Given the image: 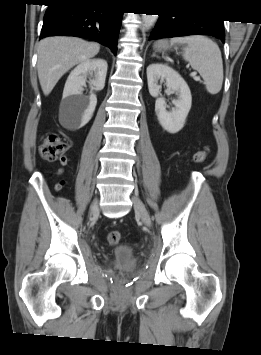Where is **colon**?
Wrapping results in <instances>:
<instances>
[{"label":"colon","instance_id":"colon-1","mask_svg":"<svg viewBox=\"0 0 261 355\" xmlns=\"http://www.w3.org/2000/svg\"><path fill=\"white\" fill-rule=\"evenodd\" d=\"M67 148V144L56 134L49 133L44 138L42 144L39 147L40 156L46 161H56L61 158ZM209 155V150L206 148L204 150L198 151L194 154L192 162L194 164L203 163ZM66 184L65 180L59 181L55 189L60 190ZM122 240V234L118 230H112L107 234V241L111 245H117Z\"/></svg>","mask_w":261,"mask_h":355}]
</instances>
